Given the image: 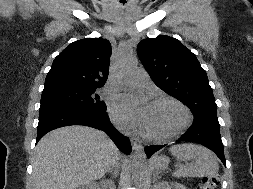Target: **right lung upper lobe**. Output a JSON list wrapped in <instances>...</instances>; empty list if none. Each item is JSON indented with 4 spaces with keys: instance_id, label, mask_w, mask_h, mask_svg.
<instances>
[{
    "instance_id": "obj_1",
    "label": "right lung upper lobe",
    "mask_w": 253,
    "mask_h": 189,
    "mask_svg": "<svg viewBox=\"0 0 253 189\" xmlns=\"http://www.w3.org/2000/svg\"><path fill=\"white\" fill-rule=\"evenodd\" d=\"M110 55V42L103 38H87L71 43L54 59L44 89L102 87L108 78Z\"/></svg>"
}]
</instances>
